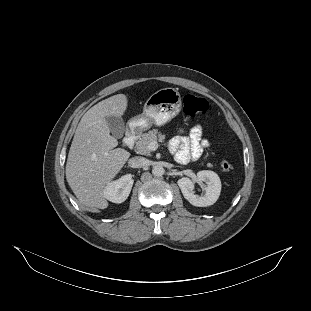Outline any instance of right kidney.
<instances>
[{"mask_svg": "<svg viewBox=\"0 0 311 311\" xmlns=\"http://www.w3.org/2000/svg\"><path fill=\"white\" fill-rule=\"evenodd\" d=\"M133 182V177L126 175L120 180L110 183L105 189V197L115 203L124 202L131 192Z\"/></svg>", "mask_w": 311, "mask_h": 311, "instance_id": "ca27d5eb", "label": "right kidney"}]
</instances>
